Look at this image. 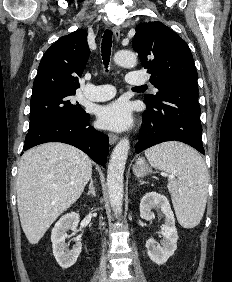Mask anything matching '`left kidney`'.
I'll use <instances>...</instances> for the list:
<instances>
[{
	"mask_svg": "<svg viewBox=\"0 0 232 282\" xmlns=\"http://www.w3.org/2000/svg\"><path fill=\"white\" fill-rule=\"evenodd\" d=\"M153 208H159L165 215V225L161 228L160 234L163 236L161 245H156L150 238L146 241L147 254L156 264L162 265L167 262L177 249L178 234L175 227V218L171 210L168 199L157 192L146 193L140 202V216L145 220H151L154 215Z\"/></svg>",
	"mask_w": 232,
	"mask_h": 282,
	"instance_id": "5707ae66",
	"label": "left kidney"
}]
</instances>
